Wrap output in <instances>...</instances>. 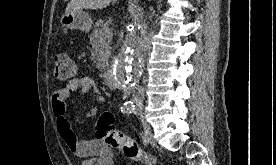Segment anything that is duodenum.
<instances>
[{
	"label": "duodenum",
	"instance_id": "duodenum-1",
	"mask_svg": "<svg viewBox=\"0 0 276 165\" xmlns=\"http://www.w3.org/2000/svg\"><path fill=\"white\" fill-rule=\"evenodd\" d=\"M104 78H105L106 84H107L110 88H112V89H115V88H116V81H115V79H114V76L112 75V73H111L109 70L105 71V73H104Z\"/></svg>",
	"mask_w": 276,
	"mask_h": 165
}]
</instances>
